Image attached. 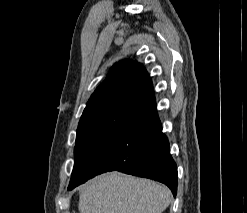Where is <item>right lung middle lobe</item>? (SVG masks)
Instances as JSON below:
<instances>
[{
	"label": "right lung middle lobe",
	"instance_id": "right-lung-middle-lobe-1",
	"mask_svg": "<svg viewBox=\"0 0 247 213\" xmlns=\"http://www.w3.org/2000/svg\"><path fill=\"white\" fill-rule=\"evenodd\" d=\"M132 106L107 110L78 126L75 161L68 190H72L98 171V160L119 135Z\"/></svg>",
	"mask_w": 247,
	"mask_h": 213
}]
</instances>
